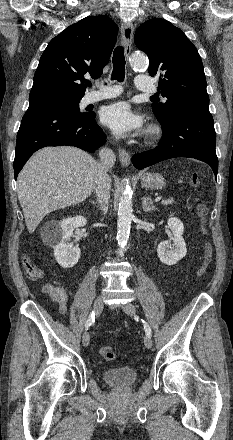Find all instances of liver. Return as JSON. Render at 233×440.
<instances>
[{
    "mask_svg": "<svg viewBox=\"0 0 233 440\" xmlns=\"http://www.w3.org/2000/svg\"><path fill=\"white\" fill-rule=\"evenodd\" d=\"M98 162L71 146L45 147L18 175L17 193L29 233L52 211L83 202L94 190Z\"/></svg>",
    "mask_w": 233,
    "mask_h": 440,
    "instance_id": "6515ba94",
    "label": "liver"
}]
</instances>
